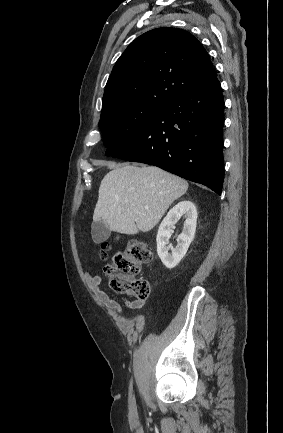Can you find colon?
<instances>
[{
    "instance_id": "obj_1",
    "label": "colon",
    "mask_w": 283,
    "mask_h": 433,
    "mask_svg": "<svg viewBox=\"0 0 283 433\" xmlns=\"http://www.w3.org/2000/svg\"><path fill=\"white\" fill-rule=\"evenodd\" d=\"M108 243L102 244L100 257L107 258ZM152 259L150 247L142 241L130 240L123 251L116 253L104 268L110 280V287L117 293L128 294L136 299L145 300L150 294V285L146 280L134 279L143 265Z\"/></svg>"
}]
</instances>
